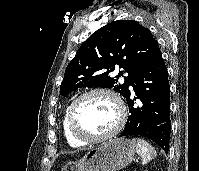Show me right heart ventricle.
<instances>
[{"label": "right heart ventricle", "mask_w": 199, "mask_h": 171, "mask_svg": "<svg viewBox=\"0 0 199 171\" xmlns=\"http://www.w3.org/2000/svg\"><path fill=\"white\" fill-rule=\"evenodd\" d=\"M70 106V105H69ZM69 106L66 108L63 118H62V131H63V135L64 138L66 140V142L72 146V147H80L85 145L86 143L84 141H81L77 138H75L70 129H69V125H68V110H69Z\"/></svg>", "instance_id": "right-heart-ventricle-1"}]
</instances>
